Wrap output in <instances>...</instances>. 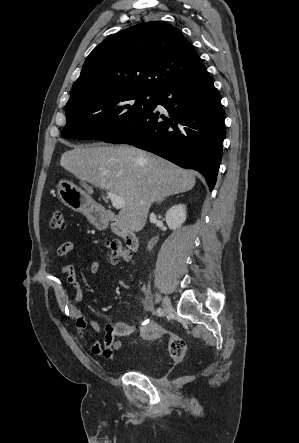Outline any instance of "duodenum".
Returning <instances> with one entry per match:
<instances>
[{"instance_id": "410a0bca", "label": "duodenum", "mask_w": 299, "mask_h": 443, "mask_svg": "<svg viewBox=\"0 0 299 443\" xmlns=\"http://www.w3.org/2000/svg\"><path fill=\"white\" fill-rule=\"evenodd\" d=\"M103 220H98V225H108L114 233L121 236L125 245L133 252L139 250L140 244L137 235L128 228L117 216L105 211Z\"/></svg>"}]
</instances>
